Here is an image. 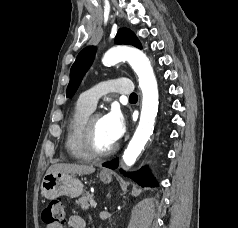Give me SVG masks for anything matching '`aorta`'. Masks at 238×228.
<instances>
[{"instance_id": "1", "label": "aorta", "mask_w": 238, "mask_h": 228, "mask_svg": "<svg viewBox=\"0 0 238 228\" xmlns=\"http://www.w3.org/2000/svg\"><path fill=\"white\" fill-rule=\"evenodd\" d=\"M127 61L138 76L142 92V109L138 127L124 151L122 159L127 166H132L154 130L158 112V86L153 68L147 56L140 50L118 46L109 49L102 58L105 66Z\"/></svg>"}]
</instances>
